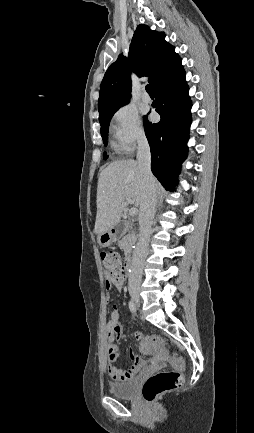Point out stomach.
Segmentation results:
<instances>
[{
  "label": "stomach",
  "instance_id": "1",
  "mask_svg": "<svg viewBox=\"0 0 254 433\" xmlns=\"http://www.w3.org/2000/svg\"><path fill=\"white\" fill-rule=\"evenodd\" d=\"M116 239L117 234L113 232L112 229L100 234L97 238L99 245L102 247L111 245Z\"/></svg>",
  "mask_w": 254,
  "mask_h": 433
}]
</instances>
